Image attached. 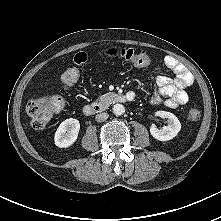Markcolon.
<instances>
[{"mask_svg":"<svg viewBox=\"0 0 221 221\" xmlns=\"http://www.w3.org/2000/svg\"><path fill=\"white\" fill-rule=\"evenodd\" d=\"M105 56L110 59H122L140 67L148 66L151 63L150 55L134 48L113 47L105 51ZM88 57L81 52L75 55L74 66L66 69L61 76V85L63 88L73 86L80 77L79 66L85 64ZM63 107V99L53 93L39 98H31L27 104V111L31 118V124L34 129H43L50 122L52 117ZM201 117V111L198 107H190L187 111V118L190 121H198Z\"/></svg>","mask_w":221,"mask_h":221,"instance_id":"5ec220e1","label":"colon"}]
</instances>
